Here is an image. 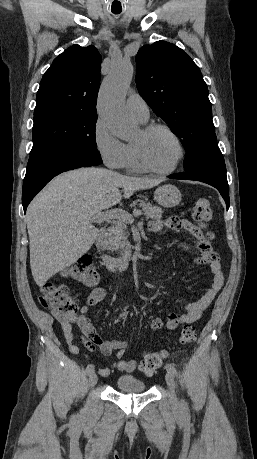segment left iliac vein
Here are the masks:
<instances>
[{
    "mask_svg": "<svg viewBox=\"0 0 257 459\" xmlns=\"http://www.w3.org/2000/svg\"><path fill=\"white\" fill-rule=\"evenodd\" d=\"M165 380H166V383L170 389V393H171V403H172V406L174 408H177L179 406V402H178V399H177V396H176V393H175V383H174V378H173V375L167 371L166 375H165Z\"/></svg>",
    "mask_w": 257,
    "mask_h": 459,
    "instance_id": "left-iliac-vein-1",
    "label": "left iliac vein"
}]
</instances>
